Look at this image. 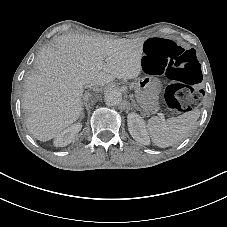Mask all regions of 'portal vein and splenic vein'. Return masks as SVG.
Here are the masks:
<instances>
[{
	"instance_id": "18ae733b",
	"label": "portal vein and splenic vein",
	"mask_w": 227,
	"mask_h": 227,
	"mask_svg": "<svg viewBox=\"0 0 227 227\" xmlns=\"http://www.w3.org/2000/svg\"><path fill=\"white\" fill-rule=\"evenodd\" d=\"M159 117H160V120L162 122H165L166 121V117H165V115L162 112H159Z\"/></svg>"
}]
</instances>
